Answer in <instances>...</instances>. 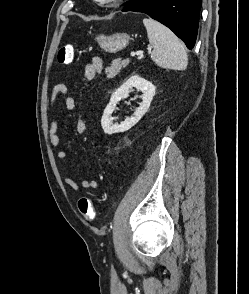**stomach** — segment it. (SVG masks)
<instances>
[{
    "label": "stomach",
    "instance_id": "1",
    "mask_svg": "<svg viewBox=\"0 0 249 294\" xmlns=\"http://www.w3.org/2000/svg\"><path fill=\"white\" fill-rule=\"evenodd\" d=\"M97 40L103 50L116 53L129 44L130 36L127 33H115L110 36L99 35Z\"/></svg>",
    "mask_w": 249,
    "mask_h": 294
}]
</instances>
